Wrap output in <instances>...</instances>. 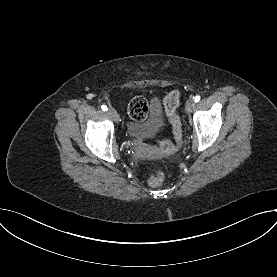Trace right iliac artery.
Segmentation results:
<instances>
[{
  "mask_svg": "<svg viewBox=\"0 0 277 277\" xmlns=\"http://www.w3.org/2000/svg\"><path fill=\"white\" fill-rule=\"evenodd\" d=\"M101 108L103 111H107V109H108L106 105H102Z\"/></svg>",
  "mask_w": 277,
  "mask_h": 277,
  "instance_id": "1",
  "label": "right iliac artery"
}]
</instances>
